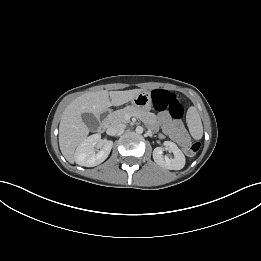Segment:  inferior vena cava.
Instances as JSON below:
<instances>
[{"instance_id":"inferior-vena-cava-1","label":"inferior vena cava","mask_w":261,"mask_h":261,"mask_svg":"<svg viewBox=\"0 0 261 261\" xmlns=\"http://www.w3.org/2000/svg\"><path fill=\"white\" fill-rule=\"evenodd\" d=\"M126 128V126L122 123H115V124H112L108 129H107V134L108 135H111V136H114L116 134H119L121 132L124 131V129Z\"/></svg>"}]
</instances>
